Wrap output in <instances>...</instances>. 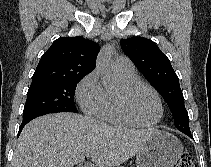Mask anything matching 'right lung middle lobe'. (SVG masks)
Instances as JSON below:
<instances>
[{
	"label": "right lung middle lobe",
	"mask_w": 211,
	"mask_h": 167,
	"mask_svg": "<svg viewBox=\"0 0 211 167\" xmlns=\"http://www.w3.org/2000/svg\"><path fill=\"white\" fill-rule=\"evenodd\" d=\"M82 78L32 82L27 92L23 121L55 112L77 113L74 93Z\"/></svg>",
	"instance_id": "dd1d6c3e"
}]
</instances>
